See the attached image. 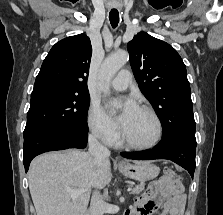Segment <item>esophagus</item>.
Masks as SVG:
<instances>
[{
	"label": "esophagus",
	"instance_id": "obj_1",
	"mask_svg": "<svg viewBox=\"0 0 223 215\" xmlns=\"http://www.w3.org/2000/svg\"><path fill=\"white\" fill-rule=\"evenodd\" d=\"M116 164L118 165V167H122L123 165H125V162L123 160H117Z\"/></svg>",
	"mask_w": 223,
	"mask_h": 215
}]
</instances>
